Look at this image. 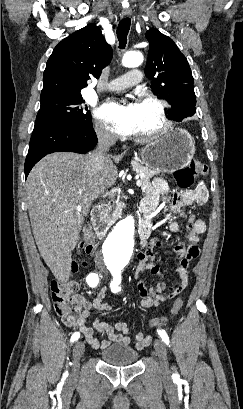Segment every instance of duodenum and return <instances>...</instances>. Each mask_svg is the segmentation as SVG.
Listing matches in <instances>:
<instances>
[{
  "label": "duodenum",
  "mask_w": 243,
  "mask_h": 409,
  "mask_svg": "<svg viewBox=\"0 0 243 409\" xmlns=\"http://www.w3.org/2000/svg\"><path fill=\"white\" fill-rule=\"evenodd\" d=\"M106 206L103 204L96 205L91 211V223L98 238H103L110 221L106 218ZM143 217L139 223L138 232L142 240L147 239L151 233V218L148 209H142Z\"/></svg>",
  "instance_id": "410a0bca"
}]
</instances>
